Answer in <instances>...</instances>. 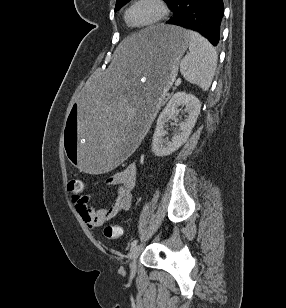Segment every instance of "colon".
Wrapping results in <instances>:
<instances>
[{
  "mask_svg": "<svg viewBox=\"0 0 286 308\" xmlns=\"http://www.w3.org/2000/svg\"><path fill=\"white\" fill-rule=\"evenodd\" d=\"M83 182L79 179H72L68 183V190L70 192H79L82 189ZM122 228L118 225H107L103 228V235L105 238L114 240L121 236Z\"/></svg>",
  "mask_w": 286,
  "mask_h": 308,
  "instance_id": "colon-1",
  "label": "colon"
}]
</instances>
